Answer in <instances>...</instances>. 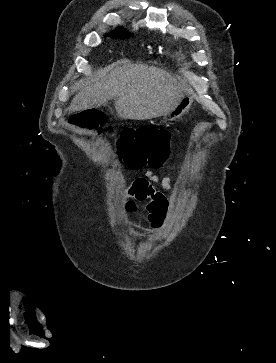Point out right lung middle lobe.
<instances>
[{
	"mask_svg": "<svg viewBox=\"0 0 276 363\" xmlns=\"http://www.w3.org/2000/svg\"><path fill=\"white\" fill-rule=\"evenodd\" d=\"M110 35L114 38H124V37H128L130 36L131 34L126 32L125 30H116L115 33H110Z\"/></svg>",
	"mask_w": 276,
	"mask_h": 363,
	"instance_id": "obj_1",
	"label": "right lung middle lobe"
}]
</instances>
